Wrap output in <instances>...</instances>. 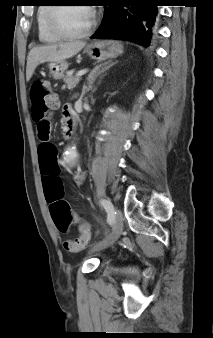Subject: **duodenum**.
I'll list each match as a JSON object with an SVG mask.
<instances>
[{
  "instance_id": "obj_1",
  "label": "duodenum",
  "mask_w": 213,
  "mask_h": 338,
  "mask_svg": "<svg viewBox=\"0 0 213 338\" xmlns=\"http://www.w3.org/2000/svg\"><path fill=\"white\" fill-rule=\"evenodd\" d=\"M64 133L70 134L73 133L76 129V119L73 116H70L68 121L64 125Z\"/></svg>"
}]
</instances>
